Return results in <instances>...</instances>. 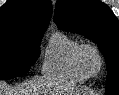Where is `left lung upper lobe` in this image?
Returning <instances> with one entry per match:
<instances>
[{
	"label": "left lung upper lobe",
	"mask_w": 119,
	"mask_h": 95,
	"mask_svg": "<svg viewBox=\"0 0 119 95\" xmlns=\"http://www.w3.org/2000/svg\"><path fill=\"white\" fill-rule=\"evenodd\" d=\"M54 22L98 44L107 63L106 94L119 95V22L99 0H57Z\"/></svg>",
	"instance_id": "5c2ea615"
}]
</instances>
